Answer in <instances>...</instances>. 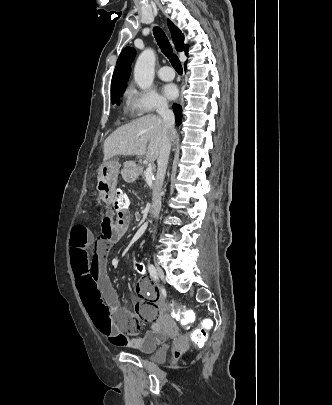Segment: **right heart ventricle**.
Masks as SVG:
<instances>
[{
    "label": "right heart ventricle",
    "instance_id": "right-heart-ventricle-1",
    "mask_svg": "<svg viewBox=\"0 0 332 405\" xmlns=\"http://www.w3.org/2000/svg\"><path fill=\"white\" fill-rule=\"evenodd\" d=\"M127 101H128V113L130 115H133L134 113H133V111L131 109V106H130V92L127 93Z\"/></svg>",
    "mask_w": 332,
    "mask_h": 405
}]
</instances>
